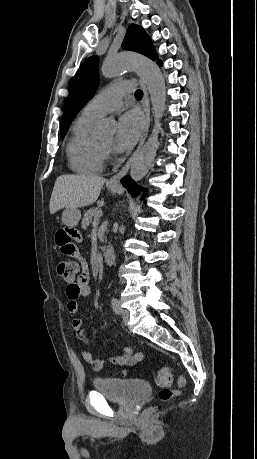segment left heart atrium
I'll return each mask as SVG.
<instances>
[{
	"label": "left heart atrium",
	"mask_w": 257,
	"mask_h": 459,
	"mask_svg": "<svg viewBox=\"0 0 257 459\" xmlns=\"http://www.w3.org/2000/svg\"><path fill=\"white\" fill-rule=\"evenodd\" d=\"M143 129L142 116L136 111L122 115L118 122L115 148L119 152L131 149L137 142Z\"/></svg>",
	"instance_id": "39dd6f15"
}]
</instances>
